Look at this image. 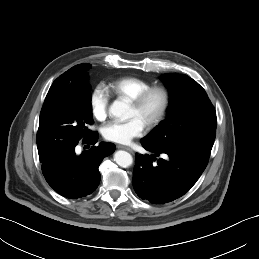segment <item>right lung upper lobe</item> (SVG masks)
<instances>
[{"label": "right lung upper lobe", "mask_w": 259, "mask_h": 259, "mask_svg": "<svg viewBox=\"0 0 259 259\" xmlns=\"http://www.w3.org/2000/svg\"><path fill=\"white\" fill-rule=\"evenodd\" d=\"M88 64H80L72 67L59 76L50 87L44 103H49L62 96L79 94L85 87L81 80V71Z\"/></svg>", "instance_id": "obj_1"}]
</instances>
